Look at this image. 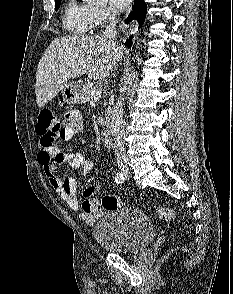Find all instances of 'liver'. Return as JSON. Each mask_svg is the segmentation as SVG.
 <instances>
[{
    "instance_id": "liver-1",
    "label": "liver",
    "mask_w": 233,
    "mask_h": 294,
    "mask_svg": "<svg viewBox=\"0 0 233 294\" xmlns=\"http://www.w3.org/2000/svg\"><path fill=\"white\" fill-rule=\"evenodd\" d=\"M124 47L103 36H71L54 39L45 50L36 71L35 94L42 108L67 84L87 73L103 79L117 66Z\"/></svg>"
}]
</instances>
